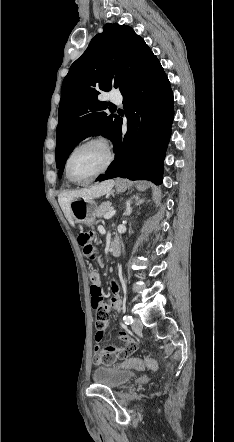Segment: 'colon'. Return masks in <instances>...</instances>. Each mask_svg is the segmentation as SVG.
Returning a JSON list of instances; mask_svg holds the SVG:
<instances>
[{
  "label": "colon",
  "mask_w": 234,
  "mask_h": 442,
  "mask_svg": "<svg viewBox=\"0 0 234 442\" xmlns=\"http://www.w3.org/2000/svg\"><path fill=\"white\" fill-rule=\"evenodd\" d=\"M78 243L83 247L84 255L89 260H94L96 257V247L91 243L92 233L89 232H81L78 235ZM90 281H91V304L93 310L96 314H107V303L105 302L103 293L101 288L97 285L100 280L99 273L93 270L90 273ZM97 329V328H96ZM123 348V347H120ZM129 357V356H128ZM158 359L156 357L148 356L142 357L138 359L137 357H129L128 359H123V363L121 365L122 370H135V369H157Z\"/></svg>",
  "instance_id": "1"
}]
</instances>
